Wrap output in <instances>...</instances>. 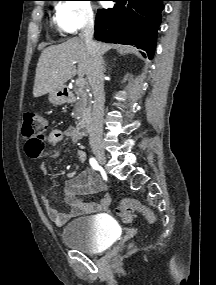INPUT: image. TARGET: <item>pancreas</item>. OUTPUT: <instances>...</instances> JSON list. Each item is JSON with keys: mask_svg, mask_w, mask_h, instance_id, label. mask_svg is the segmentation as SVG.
Wrapping results in <instances>:
<instances>
[{"mask_svg": "<svg viewBox=\"0 0 216 285\" xmlns=\"http://www.w3.org/2000/svg\"><path fill=\"white\" fill-rule=\"evenodd\" d=\"M74 94L76 95V103L74 108L75 118H84L90 112L89 98L87 92L83 87H76L74 89Z\"/></svg>", "mask_w": 216, "mask_h": 285, "instance_id": "obj_1", "label": "pancreas"}]
</instances>
